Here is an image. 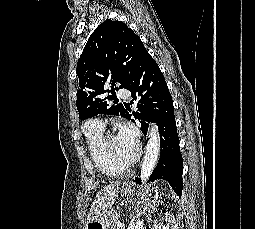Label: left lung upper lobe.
I'll return each instance as SVG.
<instances>
[{
	"label": "left lung upper lobe",
	"instance_id": "left-lung-upper-lobe-1",
	"mask_svg": "<svg viewBox=\"0 0 255 229\" xmlns=\"http://www.w3.org/2000/svg\"><path fill=\"white\" fill-rule=\"evenodd\" d=\"M145 51L138 35L121 21L108 19L94 30L76 69L81 88L76 105L81 120L98 114L126 117L124 106L117 104L115 90L125 88ZM105 92L111 95L105 97Z\"/></svg>",
	"mask_w": 255,
	"mask_h": 229
}]
</instances>
